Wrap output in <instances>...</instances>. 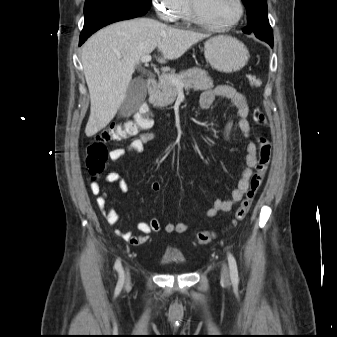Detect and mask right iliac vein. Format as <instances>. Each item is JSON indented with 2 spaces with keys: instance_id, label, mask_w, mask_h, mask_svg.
I'll list each match as a JSON object with an SVG mask.
<instances>
[{
  "instance_id": "1",
  "label": "right iliac vein",
  "mask_w": 337,
  "mask_h": 337,
  "mask_svg": "<svg viewBox=\"0 0 337 337\" xmlns=\"http://www.w3.org/2000/svg\"><path fill=\"white\" fill-rule=\"evenodd\" d=\"M129 282H130L129 272H128V270H127V271H126V277H125V284H126V285H129Z\"/></svg>"
}]
</instances>
